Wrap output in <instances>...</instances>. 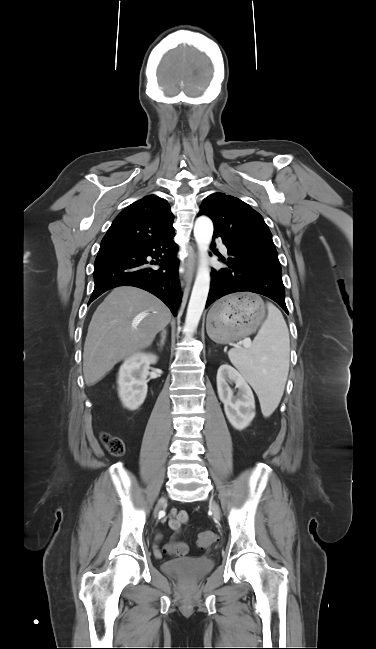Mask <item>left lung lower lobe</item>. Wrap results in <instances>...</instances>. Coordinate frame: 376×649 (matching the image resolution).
Wrapping results in <instances>:
<instances>
[{
	"label": "left lung lower lobe",
	"mask_w": 376,
	"mask_h": 649,
	"mask_svg": "<svg viewBox=\"0 0 376 649\" xmlns=\"http://www.w3.org/2000/svg\"><path fill=\"white\" fill-rule=\"evenodd\" d=\"M217 237L222 238L228 250L227 259L220 257L228 267L212 270L206 308L225 295L249 291L274 300L288 314L280 264L247 251L226 237L213 234V238Z\"/></svg>",
	"instance_id": "1"
}]
</instances>
